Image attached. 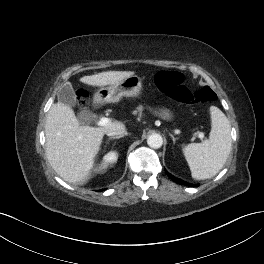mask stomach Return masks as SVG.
<instances>
[{
    "label": "stomach",
    "instance_id": "obj_1",
    "mask_svg": "<svg viewBox=\"0 0 264 264\" xmlns=\"http://www.w3.org/2000/svg\"><path fill=\"white\" fill-rule=\"evenodd\" d=\"M141 89V78L137 75H132L116 84L99 89L95 93L94 99L97 103H115L123 96L138 97L141 93ZM155 114L163 120H170L172 117L170 111L166 108L156 110Z\"/></svg>",
    "mask_w": 264,
    "mask_h": 264
}]
</instances>
